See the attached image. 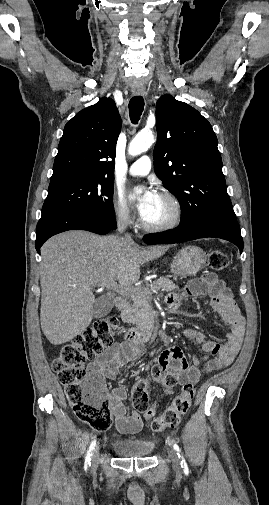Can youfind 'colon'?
Wrapping results in <instances>:
<instances>
[{
    "label": "colon",
    "mask_w": 269,
    "mask_h": 505,
    "mask_svg": "<svg viewBox=\"0 0 269 505\" xmlns=\"http://www.w3.org/2000/svg\"><path fill=\"white\" fill-rule=\"evenodd\" d=\"M208 264L211 269L221 271L228 267L229 259L223 251L213 250L209 253ZM116 326L115 317L96 321L92 327L65 344L52 362V369L65 387L68 402L76 416L97 431H106L111 427L112 415L106 399L104 380L99 375L88 372L85 363L112 345ZM151 377L161 381L167 390L176 385L173 377L159 372L152 371ZM148 384L149 379H141L135 386L132 394L134 407L150 420V427L155 432L177 426L191 406L196 393L195 384H184L172 403L155 418L154 410L149 406L146 391Z\"/></svg>",
    "instance_id": "1"
}]
</instances>
